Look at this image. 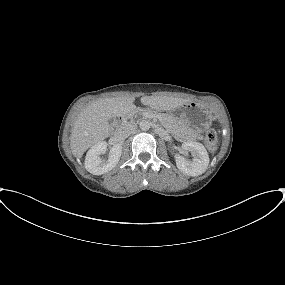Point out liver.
I'll return each instance as SVG.
<instances>
[{"instance_id":"1","label":"liver","mask_w":285,"mask_h":285,"mask_svg":"<svg viewBox=\"0 0 285 285\" xmlns=\"http://www.w3.org/2000/svg\"><path fill=\"white\" fill-rule=\"evenodd\" d=\"M134 96L102 98L89 104L78 115L70 136V148L76 158L110 134L109 119L129 114L135 110ZM189 99L167 96H143L141 103L156 110L171 111Z\"/></svg>"}]
</instances>
